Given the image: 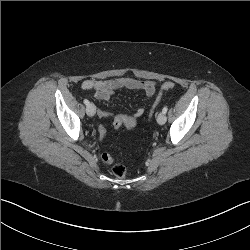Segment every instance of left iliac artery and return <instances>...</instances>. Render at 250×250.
I'll return each instance as SVG.
<instances>
[{"mask_svg": "<svg viewBox=\"0 0 250 250\" xmlns=\"http://www.w3.org/2000/svg\"><path fill=\"white\" fill-rule=\"evenodd\" d=\"M167 110H168V107H167V106H165V107L163 108L162 112H163V113H166V112H167Z\"/></svg>", "mask_w": 250, "mask_h": 250, "instance_id": "obj_1", "label": "left iliac artery"}]
</instances>
